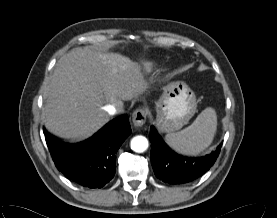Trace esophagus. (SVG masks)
<instances>
[{"mask_svg": "<svg viewBox=\"0 0 277 218\" xmlns=\"http://www.w3.org/2000/svg\"><path fill=\"white\" fill-rule=\"evenodd\" d=\"M147 110L144 108L137 109L132 114V121L134 126L141 127L147 119Z\"/></svg>", "mask_w": 277, "mask_h": 218, "instance_id": "esophagus-1", "label": "esophagus"}]
</instances>
